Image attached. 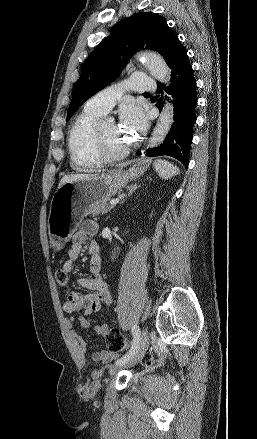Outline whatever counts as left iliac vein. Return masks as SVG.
<instances>
[{
	"label": "left iliac vein",
	"instance_id": "1",
	"mask_svg": "<svg viewBox=\"0 0 257 439\" xmlns=\"http://www.w3.org/2000/svg\"><path fill=\"white\" fill-rule=\"evenodd\" d=\"M148 346L149 335L146 330H143L135 352L129 357L127 361L116 364L115 367L110 370L109 374L115 375L119 370L127 366H132L136 364L144 356V353L146 352Z\"/></svg>",
	"mask_w": 257,
	"mask_h": 439
}]
</instances>
